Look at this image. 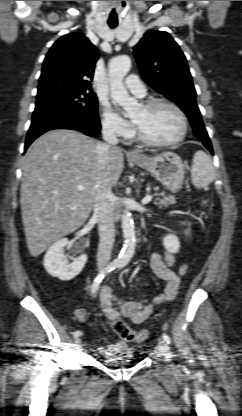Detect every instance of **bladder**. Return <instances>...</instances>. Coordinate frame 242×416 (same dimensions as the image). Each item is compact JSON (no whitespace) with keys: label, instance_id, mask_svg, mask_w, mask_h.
Segmentation results:
<instances>
[{"label":"bladder","instance_id":"31cf9c89","mask_svg":"<svg viewBox=\"0 0 242 416\" xmlns=\"http://www.w3.org/2000/svg\"><path fill=\"white\" fill-rule=\"evenodd\" d=\"M132 355L133 350L124 346L122 351L108 354L109 358L106 359V362L115 366L128 364L132 362V360L130 359Z\"/></svg>","mask_w":242,"mask_h":416}]
</instances>
